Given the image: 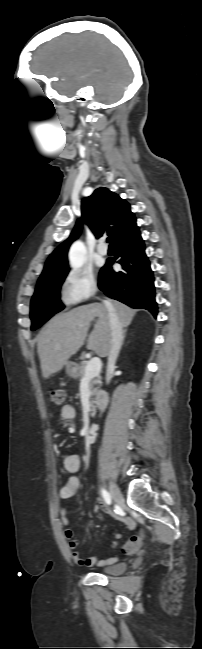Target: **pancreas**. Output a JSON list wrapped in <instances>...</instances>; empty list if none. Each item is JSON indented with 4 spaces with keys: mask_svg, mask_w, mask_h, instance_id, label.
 <instances>
[{
    "mask_svg": "<svg viewBox=\"0 0 202 649\" xmlns=\"http://www.w3.org/2000/svg\"><path fill=\"white\" fill-rule=\"evenodd\" d=\"M87 366V362L83 361L79 366H77V378L83 379L85 375V367ZM102 384L101 382V376L98 374L97 376L93 377L92 379L89 380V387L91 389V394L94 396H97V386L99 387ZM96 403L95 400H91L90 405L92 407L91 410H94V404Z\"/></svg>",
    "mask_w": 202,
    "mask_h": 649,
    "instance_id": "obj_1",
    "label": "pancreas"
}]
</instances>
